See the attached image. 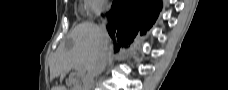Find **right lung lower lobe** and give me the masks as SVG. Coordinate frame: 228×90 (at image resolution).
<instances>
[{
    "instance_id": "1",
    "label": "right lung lower lobe",
    "mask_w": 228,
    "mask_h": 90,
    "mask_svg": "<svg viewBox=\"0 0 228 90\" xmlns=\"http://www.w3.org/2000/svg\"><path fill=\"white\" fill-rule=\"evenodd\" d=\"M161 7L159 0H115L107 25L114 49L128 47L139 31L145 33L155 22Z\"/></svg>"
}]
</instances>
